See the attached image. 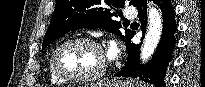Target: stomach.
<instances>
[{
    "label": "stomach",
    "mask_w": 205,
    "mask_h": 87,
    "mask_svg": "<svg viewBox=\"0 0 205 87\" xmlns=\"http://www.w3.org/2000/svg\"><path fill=\"white\" fill-rule=\"evenodd\" d=\"M84 87H141V84L132 80H116L109 83H96Z\"/></svg>",
    "instance_id": "1"
}]
</instances>
